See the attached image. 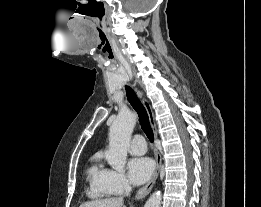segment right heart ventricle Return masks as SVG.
<instances>
[{"mask_svg": "<svg viewBox=\"0 0 261 207\" xmlns=\"http://www.w3.org/2000/svg\"><path fill=\"white\" fill-rule=\"evenodd\" d=\"M107 173L108 169L102 165L100 156H94L87 169V178L90 183L88 195L91 198H105L111 194L106 185Z\"/></svg>", "mask_w": 261, "mask_h": 207, "instance_id": "right-heart-ventricle-1", "label": "right heart ventricle"}]
</instances>
